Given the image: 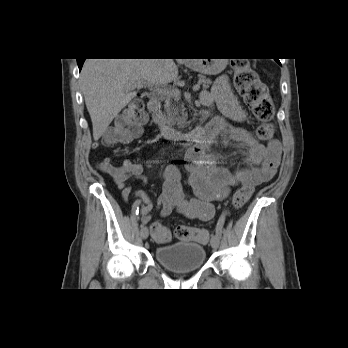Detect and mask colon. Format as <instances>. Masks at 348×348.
Wrapping results in <instances>:
<instances>
[{
    "mask_svg": "<svg viewBox=\"0 0 348 348\" xmlns=\"http://www.w3.org/2000/svg\"><path fill=\"white\" fill-rule=\"evenodd\" d=\"M233 81L244 102L251 108L255 118L260 122L256 129V138L260 141H268L274 135V104L267 86L261 82L257 73L246 59H235L232 62ZM146 122L144 106L140 102L129 105L113 123L107 128L102 136V143L106 147H113L119 143H126L138 137L142 126ZM253 187L243 185L239 187L233 197L234 209L242 208L249 200ZM151 232L154 240L159 243H166L171 239L170 230L158 223H152ZM175 235L182 241H194L207 243L209 233L205 230L180 225L175 230Z\"/></svg>",
    "mask_w": 348,
    "mask_h": 348,
    "instance_id": "5ec220e1",
    "label": "colon"
}]
</instances>
